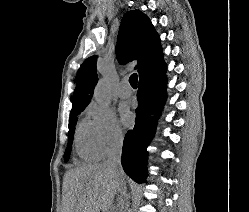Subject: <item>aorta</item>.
Masks as SVG:
<instances>
[{
    "instance_id": "obj_1",
    "label": "aorta",
    "mask_w": 249,
    "mask_h": 212,
    "mask_svg": "<svg viewBox=\"0 0 249 212\" xmlns=\"http://www.w3.org/2000/svg\"><path fill=\"white\" fill-rule=\"evenodd\" d=\"M95 101L103 108H107L111 101V89L108 80L100 79L94 90Z\"/></svg>"
}]
</instances>
